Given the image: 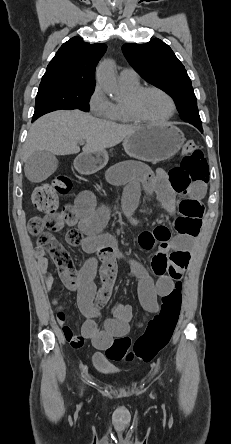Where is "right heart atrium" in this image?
Segmentation results:
<instances>
[{"label":"right heart atrium","mask_w":231,"mask_h":444,"mask_svg":"<svg viewBox=\"0 0 231 444\" xmlns=\"http://www.w3.org/2000/svg\"><path fill=\"white\" fill-rule=\"evenodd\" d=\"M112 102L100 85H96L89 97L90 111L98 117L108 118L112 110Z\"/></svg>","instance_id":"obj_1"}]
</instances>
